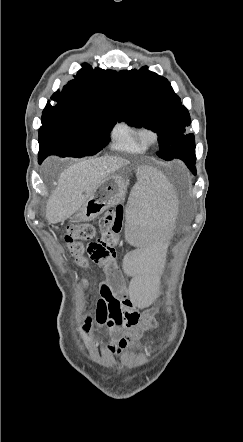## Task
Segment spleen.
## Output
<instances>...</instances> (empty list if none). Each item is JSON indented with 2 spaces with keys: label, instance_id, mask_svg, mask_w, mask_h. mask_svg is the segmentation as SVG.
<instances>
[{
  "label": "spleen",
  "instance_id": "obj_1",
  "mask_svg": "<svg viewBox=\"0 0 243 442\" xmlns=\"http://www.w3.org/2000/svg\"><path fill=\"white\" fill-rule=\"evenodd\" d=\"M137 183L127 193L125 206L127 222L124 235L133 242L136 253L129 254L125 266L133 274L134 282L127 287V296H132L134 307H151L157 302V293L163 284L162 268L169 258V242L173 233L169 226H179V217H174L177 200L176 186L170 178H161L152 163H143L137 170Z\"/></svg>",
  "mask_w": 243,
  "mask_h": 442
}]
</instances>
